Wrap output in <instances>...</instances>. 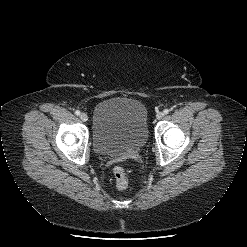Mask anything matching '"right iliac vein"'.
Here are the masks:
<instances>
[{
    "label": "right iliac vein",
    "mask_w": 247,
    "mask_h": 247,
    "mask_svg": "<svg viewBox=\"0 0 247 247\" xmlns=\"http://www.w3.org/2000/svg\"><path fill=\"white\" fill-rule=\"evenodd\" d=\"M80 119L83 121V122H86L88 120V116L86 113H81L80 114Z\"/></svg>",
    "instance_id": "right-iliac-vein-1"
}]
</instances>
